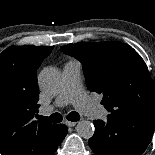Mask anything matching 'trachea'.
<instances>
[{
	"mask_svg": "<svg viewBox=\"0 0 155 155\" xmlns=\"http://www.w3.org/2000/svg\"><path fill=\"white\" fill-rule=\"evenodd\" d=\"M38 119L40 121H46V122H50V123H59L62 121V116L59 113H53L52 115H50L49 117H45V116H38ZM67 119L69 121H78L80 120V115L77 112H70L67 115Z\"/></svg>",
	"mask_w": 155,
	"mask_h": 155,
	"instance_id": "trachea-1",
	"label": "trachea"
}]
</instances>
